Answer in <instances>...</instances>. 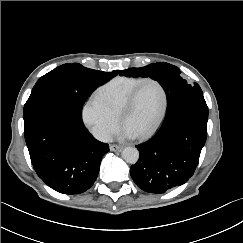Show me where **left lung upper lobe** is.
Here are the masks:
<instances>
[{"label":"left lung upper lobe","mask_w":243,"mask_h":243,"mask_svg":"<svg viewBox=\"0 0 243 243\" xmlns=\"http://www.w3.org/2000/svg\"><path fill=\"white\" fill-rule=\"evenodd\" d=\"M120 75L150 77L157 80L166 92L168 104L167 111L191 96L202 94V90L197 83L193 85L189 84L181 77L179 68L165 62L122 70L120 71Z\"/></svg>","instance_id":"left-lung-upper-lobe-1"}]
</instances>
